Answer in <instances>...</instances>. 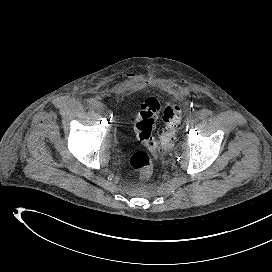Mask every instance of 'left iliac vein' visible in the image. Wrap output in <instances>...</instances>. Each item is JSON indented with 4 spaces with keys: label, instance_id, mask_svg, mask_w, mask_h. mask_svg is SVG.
Wrapping results in <instances>:
<instances>
[{
    "label": "left iliac vein",
    "instance_id": "4c4485c4",
    "mask_svg": "<svg viewBox=\"0 0 272 272\" xmlns=\"http://www.w3.org/2000/svg\"><path fill=\"white\" fill-rule=\"evenodd\" d=\"M196 121H197V119L192 116L187 119L186 123H187V125L192 126Z\"/></svg>",
    "mask_w": 272,
    "mask_h": 272
}]
</instances>
